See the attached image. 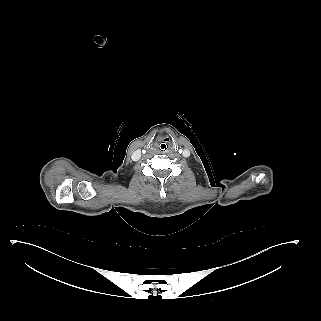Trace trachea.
I'll list each match as a JSON object with an SVG mask.
<instances>
[{
	"mask_svg": "<svg viewBox=\"0 0 321 321\" xmlns=\"http://www.w3.org/2000/svg\"><path fill=\"white\" fill-rule=\"evenodd\" d=\"M159 151L161 152V153H166L167 151H168V144L167 143H160L159 144Z\"/></svg>",
	"mask_w": 321,
	"mask_h": 321,
	"instance_id": "1",
	"label": "trachea"
}]
</instances>
